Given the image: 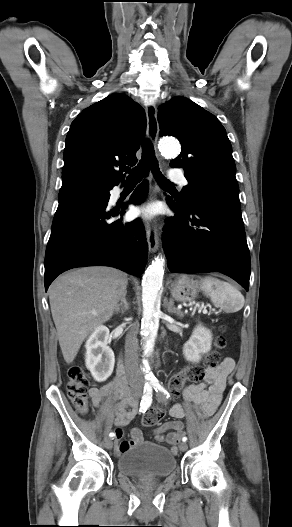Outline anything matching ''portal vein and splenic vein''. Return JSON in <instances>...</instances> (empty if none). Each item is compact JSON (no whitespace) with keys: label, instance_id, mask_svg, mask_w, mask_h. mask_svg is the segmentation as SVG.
<instances>
[{"label":"portal vein and splenic vein","instance_id":"18ae733b","mask_svg":"<svg viewBox=\"0 0 292 527\" xmlns=\"http://www.w3.org/2000/svg\"><path fill=\"white\" fill-rule=\"evenodd\" d=\"M203 313H205V314H206V313H207V310H206V309H204V310H203Z\"/></svg>","mask_w":292,"mask_h":527}]
</instances>
